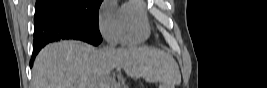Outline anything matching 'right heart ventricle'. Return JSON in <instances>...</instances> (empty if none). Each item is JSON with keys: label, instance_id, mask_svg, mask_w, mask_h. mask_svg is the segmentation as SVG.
I'll list each match as a JSON object with an SVG mask.
<instances>
[{"label": "right heart ventricle", "instance_id": "e07e8e85", "mask_svg": "<svg viewBox=\"0 0 267 88\" xmlns=\"http://www.w3.org/2000/svg\"><path fill=\"white\" fill-rule=\"evenodd\" d=\"M121 42L134 45L144 42L151 33V28L143 1H128L121 8Z\"/></svg>", "mask_w": 267, "mask_h": 88}]
</instances>
